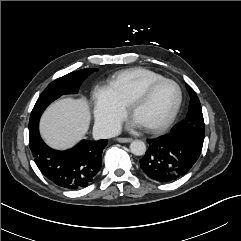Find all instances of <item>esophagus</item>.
I'll list each match as a JSON object with an SVG mask.
<instances>
[{
    "label": "esophagus",
    "instance_id": "34e87169",
    "mask_svg": "<svg viewBox=\"0 0 241 241\" xmlns=\"http://www.w3.org/2000/svg\"><path fill=\"white\" fill-rule=\"evenodd\" d=\"M117 141L120 142V143H129L132 141V138H123V137H120V138H117Z\"/></svg>",
    "mask_w": 241,
    "mask_h": 241
}]
</instances>
